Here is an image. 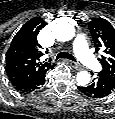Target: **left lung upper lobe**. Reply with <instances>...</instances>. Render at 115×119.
Masks as SVG:
<instances>
[{"mask_svg":"<svg viewBox=\"0 0 115 119\" xmlns=\"http://www.w3.org/2000/svg\"><path fill=\"white\" fill-rule=\"evenodd\" d=\"M96 50L102 49V71L115 80V29L103 18H95L88 23Z\"/></svg>","mask_w":115,"mask_h":119,"instance_id":"left-lung-upper-lobe-1","label":"left lung upper lobe"}]
</instances>
